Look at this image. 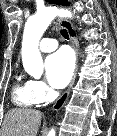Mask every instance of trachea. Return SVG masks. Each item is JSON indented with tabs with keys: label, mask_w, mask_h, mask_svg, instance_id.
I'll list each match as a JSON object with an SVG mask.
<instances>
[{
	"label": "trachea",
	"mask_w": 117,
	"mask_h": 136,
	"mask_svg": "<svg viewBox=\"0 0 117 136\" xmlns=\"http://www.w3.org/2000/svg\"><path fill=\"white\" fill-rule=\"evenodd\" d=\"M61 35L65 38V39H69V35L66 29H62L61 30Z\"/></svg>",
	"instance_id": "3493384b"
}]
</instances>
